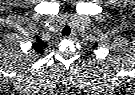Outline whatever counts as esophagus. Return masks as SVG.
Returning <instances> with one entry per match:
<instances>
[{
    "label": "esophagus",
    "instance_id": "34e87169",
    "mask_svg": "<svg viewBox=\"0 0 135 95\" xmlns=\"http://www.w3.org/2000/svg\"><path fill=\"white\" fill-rule=\"evenodd\" d=\"M75 33H71L70 35L66 36L68 39H74L75 38Z\"/></svg>",
    "mask_w": 135,
    "mask_h": 95
}]
</instances>
